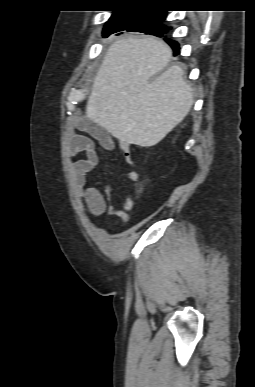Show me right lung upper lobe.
<instances>
[{"label": "right lung upper lobe", "mask_w": 255, "mask_h": 387, "mask_svg": "<svg viewBox=\"0 0 255 387\" xmlns=\"http://www.w3.org/2000/svg\"><path fill=\"white\" fill-rule=\"evenodd\" d=\"M129 12H159V11H158V10H140V9H135V10H120V11H115L114 14L129 13Z\"/></svg>", "instance_id": "right-lung-upper-lobe-1"}]
</instances>
